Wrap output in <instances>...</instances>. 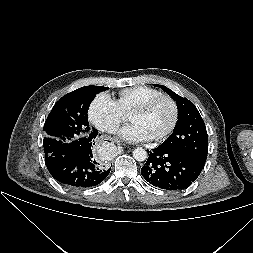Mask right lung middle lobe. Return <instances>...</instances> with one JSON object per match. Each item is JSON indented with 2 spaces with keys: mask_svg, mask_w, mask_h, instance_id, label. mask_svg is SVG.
I'll list each match as a JSON object with an SVG mask.
<instances>
[{
  "mask_svg": "<svg viewBox=\"0 0 253 253\" xmlns=\"http://www.w3.org/2000/svg\"><path fill=\"white\" fill-rule=\"evenodd\" d=\"M102 86H85L64 95L54 105L45 124L44 149L58 141L71 142L89 136L88 109L96 94L107 90Z\"/></svg>",
  "mask_w": 253,
  "mask_h": 253,
  "instance_id": "obj_1",
  "label": "right lung middle lobe"
}]
</instances>
